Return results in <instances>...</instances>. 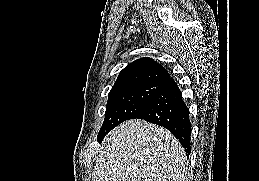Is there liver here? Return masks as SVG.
<instances>
[{
	"label": "liver",
	"instance_id": "6515ba94",
	"mask_svg": "<svg viewBox=\"0 0 259 181\" xmlns=\"http://www.w3.org/2000/svg\"><path fill=\"white\" fill-rule=\"evenodd\" d=\"M186 154L161 126L129 120L103 140L92 181H187Z\"/></svg>",
	"mask_w": 259,
	"mask_h": 181
}]
</instances>
